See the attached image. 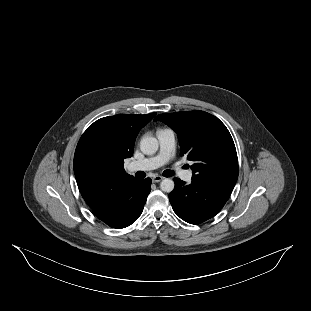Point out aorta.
Here are the masks:
<instances>
[{"label":"aorta","mask_w":311,"mask_h":311,"mask_svg":"<svg viewBox=\"0 0 311 311\" xmlns=\"http://www.w3.org/2000/svg\"><path fill=\"white\" fill-rule=\"evenodd\" d=\"M158 140L154 137L146 136L140 141V149L146 155H153L158 150ZM175 187L173 180L165 178L160 183V188L164 192H171Z\"/></svg>","instance_id":"aorta-1"}]
</instances>
